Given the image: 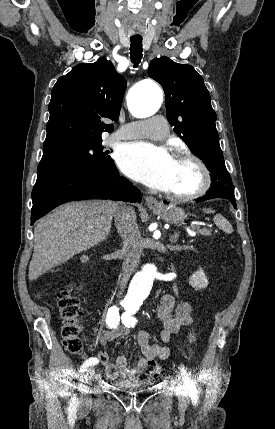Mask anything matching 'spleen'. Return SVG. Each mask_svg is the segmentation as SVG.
Returning <instances> with one entry per match:
<instances>
[{
  "label": "spleen",
  "instance_id": "1",
  "mask_svg": "<svg viewBox=\"0 0 275 429\" xmlns=\"http://www.w3.org/2000/svg\"><path fill=\"white\" fill-rule=\"evenodd\" d=\"M203 212L205 213H215L214 210L211 209H203ZM214 223L216 224V226H218L221 230H223L226 233H232L233 232V227L232 225L229 223V221H227L221 214H217L214 216Z\"/></svg>",
  "mask_w": 275,
  "mask_h": 429
}]
</instances>
